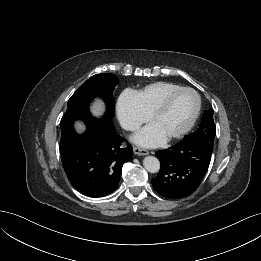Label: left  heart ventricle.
<instances>
[{"label": "left heart ventricle", "instance_id": "left-heart-ventricle-1", "mask_svg": "<svg viewBox=\"0 0 261 261\" xmlns=\"http://www.w3.org/2000/svg\"><path fill=\"white\" fill-rule=\"evenodd\" d=\"M196 97L191 92H183L175 96L167 109L152 122L166 136H170L182 130L196 107Z\"/></svg>", "mask_w": 261, "mask_h": 261}]
</instances>
